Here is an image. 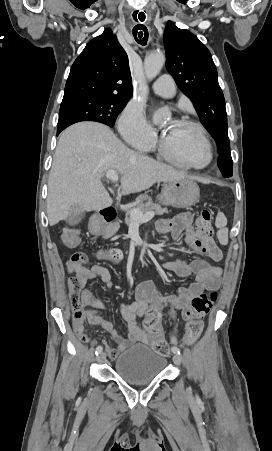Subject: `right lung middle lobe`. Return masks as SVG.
Masks as SVG:
<instances>
[{
  "label": "right lung middle lobe",
  "instance_id": "dd1d6c3e",
  "mask_svg": "<svg viewBox=\"0 0 272 451\" xmlns=\"http://www.w3.org/2000/svg\"><path fill=\"white\" fill-rule=\"evenodd\" d=\"M129 99L111 97H80L62 101L57 131L81 121H96L113 127Z\"/></svg>",
  "mask_w": 272,
  "mask_h": 451
}]
</instances>
